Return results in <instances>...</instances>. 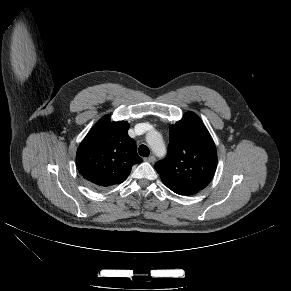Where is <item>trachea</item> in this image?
Listing matches in <instances>:
<instances>
[{
  "instance_id": "3493384b",
  "label": "trachea",
  "mask_w": 291,
  "mask_h": 291,
  "mask_svg": "<svg viewBox=\"0 0 291 291\" xmlns=\"http://www.w3.org/2000/svg\"><path fill=\"white\" fill-rule=\"evenodd\" d=\"M138 152L140 156H143V157H148L150 154L149 148L146 145H140Z\"/></svg>"
}]
</instances>
